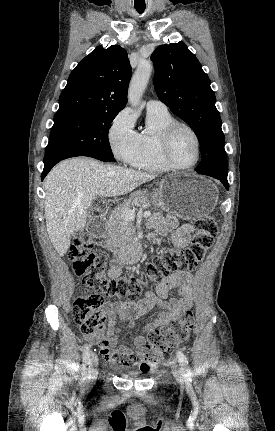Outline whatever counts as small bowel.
Here are the masks:
<instances>
[{
	"label": "small bowel",
	"instance_id": "1",
	"mask_svg": "<svg viewBox=\"0 0 275 431\" xmlns=\"http://www.w3.org/2000/svg\"><path fill=\"white\" fill-rule=\"evenodd\" d=\"M150 227L156 228L160 235L171 234V240L178 249L185 248L191 240L193 226L190 223L179 225L173 218L159 220L153 218ZM122 273L121 266L112 264L109 277L116 278ZM192 274L189 272H176L162 280L156 287L155 293H147L139 301L109 302L104 306L107 322L102 331L88 337L91 344L98 345L106 361L112 364L137 365L146 344V334L158 328H163L178 320L189 309L192 303ZM173 292L178 297L171 296ZM158 313L153 319L132 338V345L119 344L120 328L116 326L119 319L129 327L141 316L150 314L153 310Z\"/></svg>",
	"mask_w": 275,
	"mask_h": 431
}]
</instances>
